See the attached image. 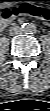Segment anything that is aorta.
Segmentation results:
<instances>
[{
	"mask_svg": "<svg viewBox=\"0 0 50 111\" xmlns=\"http://www.w3.org/2000/svg\"><path fill=\"white\" fill-rule=\"evenodd\" d=\"M22 31L26 34H32L36 32V25L33 23H25L22 25Z\"/></svg>",
	"mask_w": 50,
	"mask_h": 111,
	"instance_id": "762f6f07",
	"label": "aorta"
}]
</instances>
